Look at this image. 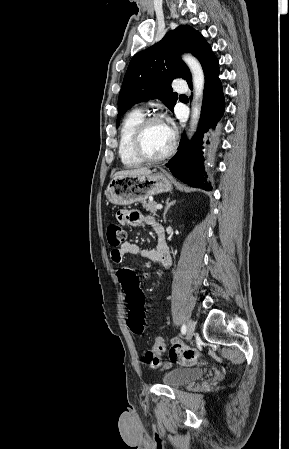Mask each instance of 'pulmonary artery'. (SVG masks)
<instances>
[{
  "instance_id": "pulmonary-artery-1",
  "label": "pulmonary artery",
  "mask_w": 289,
  "mask_h": 449,
  "mask_svg": "<svg viewBox=\"0 0 289 449\" xmlns=\"http://www.w3.org/2000/svg\"><path fill=\"white\" fill-rule=\"evenodd\" d=\"M185 86H184V83L182 82V81H180V80H176L175 81V88L176 89H183Z\"/></svg>"
}]
</instances>
